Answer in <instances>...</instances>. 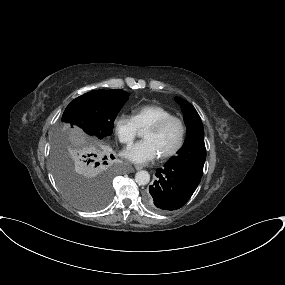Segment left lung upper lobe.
Wrapping results in <instances>:
<instances>
[{
	"label": "left lung upper lobe",
	"instance_id": "5c2ea615",
	"mask_svg": "<svg viewBox=\"0 0 285 285\" xmlns=\"http://www.w3.org/2000/svg\"><path fill=\"white\" fill-rule=\"evenodd\" d=\"M175 100L182 107L187 136L184 145L177 152V156L172 157L166 164L202 177L206 159L202 121L195 108L188 101L179 97H175Z\"/></svg>",
	"mask_w": 285,
	"mask_h": 285
}]
</instances>
